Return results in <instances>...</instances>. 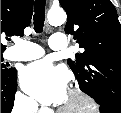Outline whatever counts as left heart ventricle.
Returning a JSON list of instances; mask_svg holds the SVG:
<instances>
[{"instance_id": "b2bd125f", "label": "left heart ventricle", "mask_w": 121, "mask_h": 113, "mask_svg": "<svg viewBox=\"0 0 121 113\" xmlns=\"http://www.w3.org/2000/svg\"><path fill=\"white\" fill-rule=\"evenodd\" d=\"M79 104L80 102L77 98L67 93L63 102L61 103V108H71L78 106Z\"/></svg>"}]
</instances>
